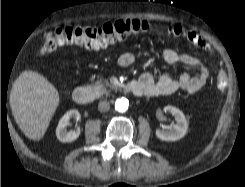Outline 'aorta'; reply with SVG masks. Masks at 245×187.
<instances>
[{"label":"aorta","mask_w":245,"mask_h":187,"mask_svg":"<svg viewBox=\"0 0 245 187\" xmlns=\"http://www.w3.org/2000/svg\"><path fill=\"white\" fill-rule=\"evenodd\" d=\"M129 107V101L126 98H119L115 102V109L118 112H125Z\"/></svg>","instance_id":"aorta-1"}]
</instances>
